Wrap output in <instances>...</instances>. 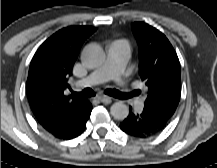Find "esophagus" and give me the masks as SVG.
Masks as SVG:
<instances>
[{
  "instance_id": "1",
  "label": "esophagus",
  "mask_w": 217,
  "mask_h": 168,
  "mask_svg": "<svg viewBox=\"0 0 217 168\" xmlns=\"http://www.w3.org/2000/svg\"><path fill=\"white\" fill-rule=\"evenodd\" d=\"M98 99L104 104H110L112 102V98L106 95H100Z\"/></svg>"
}]
</instances>
